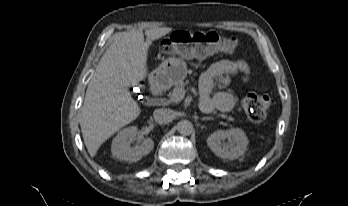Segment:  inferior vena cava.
<instances>
[{
    "label": "inferior vena cava",
    "instance_id": "obj_1",
    "mask_svg": "<svg viewBox=\"0 0 348 206\" xmlns=\"http://www.w3.org/2000/svg\"><path fill=\"white\" fill-rule=\"evenodd\" d=\"M175 118V113L171 109L159 108L154 110L153 119L158 124H168Z\"/></svg>",
    "mask_w": 348,
    "mask_h": 206
}]
</instances>
